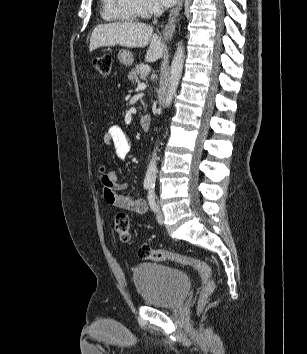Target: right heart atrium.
Here are the masks:
<instances>
[{"mask_svg": "<svg viewBox=\"0 0 307 354\" xmlns=\"http://www.w3.org/2000/svg\"><path fill=\"white\" fill-rule=\"evenodd\" d=\"M139 16L146 17L157 10L155 0H133Z\"/></svg>", "mask_w": 307, "mask_h": 354, "instance_id": "obj_1", "label": "right heart atrium"}]
</instances>
